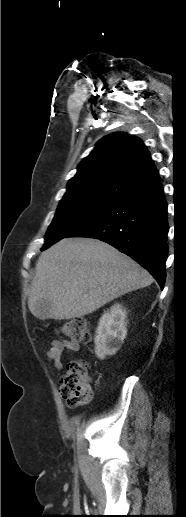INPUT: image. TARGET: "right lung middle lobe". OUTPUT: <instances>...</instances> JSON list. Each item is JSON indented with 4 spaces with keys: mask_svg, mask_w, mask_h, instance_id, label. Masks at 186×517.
<instances>
[{
    "mask_svg": "<svg viewBox=\"0 0 186 517\" xmlns=\"http://www.w3.org/2000/svg\"><path fill=\"white\" fill-rule=\"evenodd\" d=\"M117 200L90 195L64 197L60 201L55 217L48 228L42 250L68 236L79 226L109 208Z\"/></svg>",
    "mask_w": 186,
    "mask_h": 517,
    "instance_id": "dd1d6c3e",
    "label": "right lung middle lobe"
}]
</instances>
